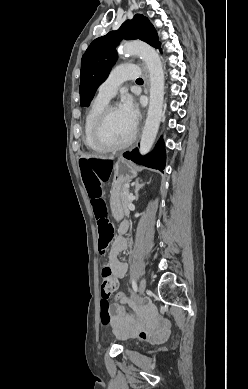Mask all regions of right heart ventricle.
<instances>
[{"instance_id": "1", "label": "right heart ventricle", "mask_w": 248, "mask_h": 389, "mask_svg": "<svg viewBox=\"0 0 248 389\" xmlns=\"http://www.w3.org/2000/svg\"><path fill=\"white\" fill-rule=\"evenodd\" d=\"M109 103V100L97 95L87 111L84 121V143L87 148L97 151L103 152L104 150L95 142L93 137V131L96 124V121L104 109V107Z\"/></svg>"}]
</instances>
